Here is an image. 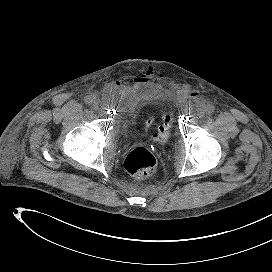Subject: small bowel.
<instances>
[{
  "mask_svg": "<svg viewBox=\"0 0 272 272\" xmlns=\"http://www.w3.org/2000/svg\"><path fill=\"white\" fill-rule=\"evenodd\" d=\"M134 78H135L134 81H140V76H135ZM120 87H121V83L119 81H116L111 85V88H120Z\"/></svg>",
  "mask_w": 272,
  "mask_h": 272,
  "instance_id": "obj_1",
  "label": "small bowel"
}]
</instances>
